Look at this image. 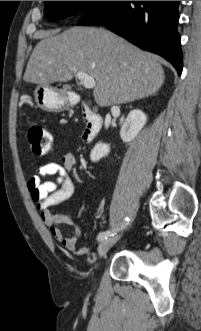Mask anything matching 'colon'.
<instances>
[{
	"label": "colon",
	"instance_id": "colon-1",
	"mask_svg": "<svg viewBox=\"0 0 201 331\" xmlns=\"http://www.w3.org/2000/svg\"><path fill=\"white\" fill-rule=\"evenodd\" d=\"M28 142L33 153L37 156L47 154L53 144L52 136L49 131L39 125H34L29 128Z\"/></svg>",
	"mask_w": 201,
	"mask_h": 331
}]
</instances>
